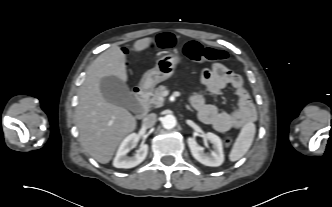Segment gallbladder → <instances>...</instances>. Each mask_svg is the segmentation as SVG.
I'll return each instance as SVG.
<instances>
[{
    "label": "gallbladder",
    "mask_w": 332,
    "mask_h": 207,
    "mask_svg": "<svg viewBox=\"0 0 332 207\" xmlns=\"http://www.w3.org/2000/svg\"><path fill=\"white\" fill-rule=\"evenodd\" d=\"M100 91L109 103L124 107L134 113L140 110V106L128 86L118 77H103L100 80Z\"/></svg>",
    "instance_id": "gallbladder-1"
}]
</instances>
